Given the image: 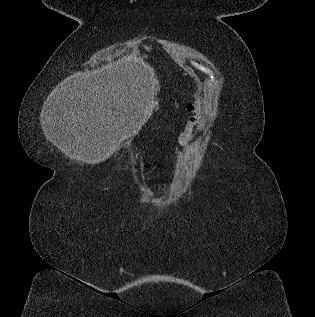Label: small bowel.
I'll return each instance as SVG.
<instances>
[{
  "instance_id": "1",
  "label": "small bowel",
  "mask_w": 315,
  "mask_h": 317,
  "mask_svg": "<svg viewBox=\"0 0 315 317\" xmlns=\"http://www.w3.org/2000/svg\"><path fill=\"white\" fill-rule=\"evenodd\" d=\"M187 110L192 111L193 115L190 117V119L187 123L186 129L183 132H181L179 134V137H178L179 143L181 145H184V146L188 145L190 142H192V140H193L192 128L201 116V112L199 110L193 108L191 105L187 106ZM180 158H181V154L178 150H176L175 159L179 160ZM163 188H164V185H158L156 187L157 191H162Z\"/></svg>"
}]
</instances>
